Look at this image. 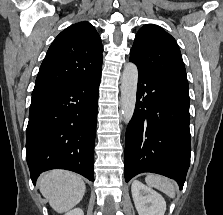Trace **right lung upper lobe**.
<instances>
[{"mask_svg": "<svg viewBox=\"0 0 223 215\" xmlns=\"http://www.w3.org/2000/svg\"><path fill=\"white\" fill-rule=\"evenodd\" d=\"M100 36L88 22L63 30L41 64L32 97L50 94L96 75L102 68Z\"/></svg>", "mask_w": 223, "mask_h": 215, "instance_id": "cb5924a9", "label": "right lung upper lobe"}]
</instances>
